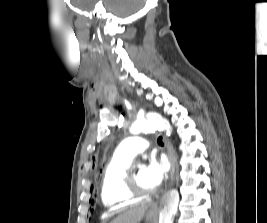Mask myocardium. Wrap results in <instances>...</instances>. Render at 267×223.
Here are the masks:
<instances>
[{
	"instance_id": "1",
	"label": "myocardium",
	"mask_w": 267,
	"mask_h": 223,
	"mask_svg": "<svg viewBox=\"0 0 267 223\" xmlns=\"http://www.w3.org/2000/svg\"><path fill=\"white\" fill-rule=\"evenodd\" d=\"M134 171V169L128 170L124 177L126 194L131 200H146L154 194V191H143L139 189L134 179Z\"/></svg>"
}]
</instances>
